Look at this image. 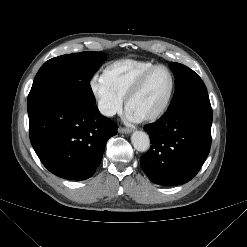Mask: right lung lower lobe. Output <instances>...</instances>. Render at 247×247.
Returning <instances> with one entry per match:
<instances>
[{"label":"right lung lower lobe","instance_id":"right-lung-lower-lobe-1","mask_svg":"<svg viewBox=\"0 0 247 247\" xmlns=\"http://www.w3.org/2000/svg\"><path fill=\"white\" fill-rule=\"evenodd\" d=\"M30 141L44 166L69 180L91 177L118 126L95 104L52 97L28 107Z\"/></svg>","mask_w":247,"mask_h":247}]
</instances>
